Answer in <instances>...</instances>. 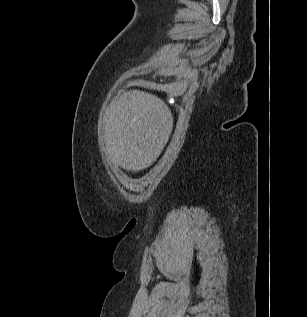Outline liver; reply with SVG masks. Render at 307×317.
Returning a JSON list of instances; mask_svg holds the SVG:
<instances>
[{
    "label": "liver",
    "mask_w": 307,
    "mask_h": 317,
    "mask_svg": "<svg viewBox=\"0 0 307 317\" xmlns=\"http://www.w3.org/2000/svg\"><path fill=\"white\" fill-rule=\"evenodd\" d=\"M108 156L127 171L149 167L161 154L173 129V116L163 100L140 90L114 99L105 116Z\"/></svg>",
    "instance_id": "liver-1"
}]
</instances>
